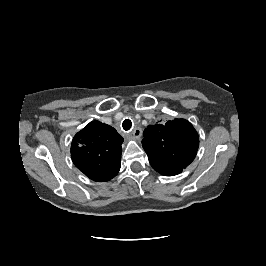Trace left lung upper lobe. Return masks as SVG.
Here are the masks:
<instances>
[{
  "instance_id": "5c2ea615",
  "label": "left lung upper lobe",
  "mask_w": 266,
  "mask_h": 266,
  "mask_svg": "<svg viewBox=\"0 0 266 266\" xmlns=\"http://www.w3.org/2000/svg\"><path fill=\"white\" fill-rule=\"evenodd\" d=\"M142 146L153 169L165 176L182 172L195 158L199 136L185 119H174L149 125L144 131Z\"/></svg>"
}]
</instances>
